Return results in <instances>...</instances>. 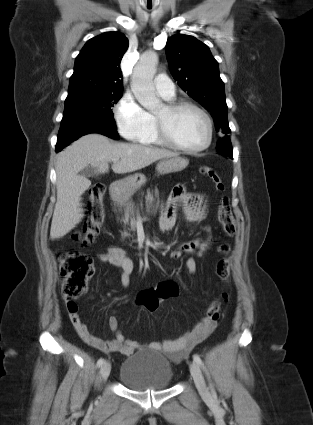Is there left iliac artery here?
<instances>
[{"label": "left iliac artery", "instance_id": "obj_1", "mask_svg": "<svg viewBox=\"0 0 313 425\" xmlns=\"http://www.w3.org/2000/svg\"><path fill=\"white\" fill-rule=\"evenodd\" d=\"M193 360L200 366V367H202L203 368V370H205V367H204V364H203V362H202V360H201V358L197 355V354H195V355H193ZM210 389H211V393H212V396L213 397H215L216 396V392H215V389H214V386H213V384L212 383H210Z\"/></svg>", "mask_w": 313, "mask_h": 425}]
</instances>
